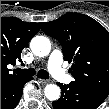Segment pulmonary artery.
Wrapping results in <instances>:
<instances>
[{"label": "pulmonary artery", "mask_w": 109, "mask_h": 109, "mask_svg": "<svg viewBox=\"0 0 109 109\" xmlns=\"http://www.w3.org/2000/svg\"><path fill=\"white\" fill-rule=\"evenodd\" d=\"M63 55L61 50L55 49L51 52L47 62V68L53 78L62 83H70L73 79L63 69Z\"/></svg>", "instance_id": "e3ab8cb5"}]
</instances>
